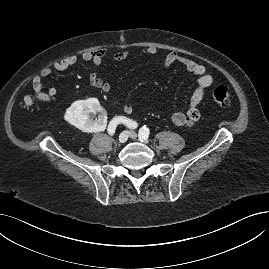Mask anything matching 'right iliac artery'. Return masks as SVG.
<instances>
[{
	"mask_svg": "<svg viewBox=\"0 0 269 269\" xmlns=\"http://www.w3.org/2000/svg\"><path fill=\"white\" fill-rule=\"evenodd\" d=\"M119 123L125 124L130 129H136L138 126V124L133 120H130L126 117H118V118L114 119L112 122H110L108 129H107L108 134L113 135L115 133L116 126Z\"/></svg>",
	"mask_w": 269,
	"mask_h": 269,
	"instance_id": "82829eb1",
	"label": "right iliac artery"
}]
</instances>
